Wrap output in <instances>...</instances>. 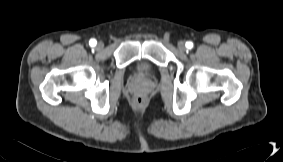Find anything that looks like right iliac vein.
<instances>
[{"mask_svg":"<svg viewBox=\"0 0 283 162\" xmlns=\"http://www.w3.org/2000/svg\"><path fill=\"white\" fill-rule=\"evenodd\" d=\"M103 47H104L103 42H98L97 45H96L97 49H102Z\"/></svg>","mask_w":283,"mask_h":162,"instance_id":"obj_1","label":"right iliac vein"}]
</instances>
